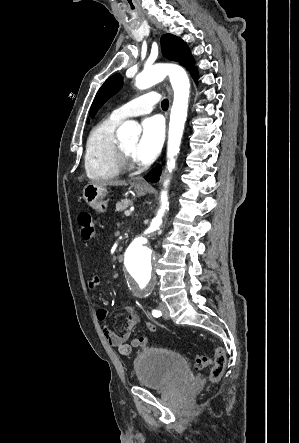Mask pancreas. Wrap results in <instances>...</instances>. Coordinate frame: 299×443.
Returning a JSON list of instances; mask_svg holds the SVG:
<instances>
[{"label":"pancreas","mask_w":299,"mask_h":443,"mask_svg":"<svg viewBox=\"0 0 299 443\" xmlns=\"http://www.w3.org/2000/svg\"><path fill=\"white\" fill-rule=\"evenodd\" d=\"M132 205V201L129 199H123L116 204V211H124L128 206Z\"/></svg>","instance_id":"pancreas-1"}]
</instances>
